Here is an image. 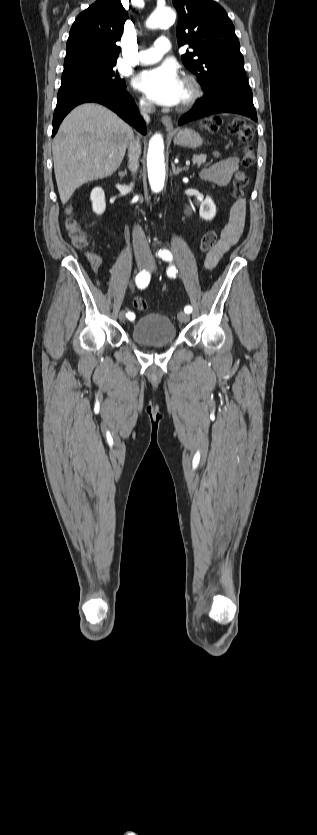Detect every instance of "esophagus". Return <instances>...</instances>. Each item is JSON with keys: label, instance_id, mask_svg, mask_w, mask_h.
<instances>
[{"label": "esophagus", "instance_id": "obj_1", "mask_svg": "<svg viewBox=\"0 0 317 835\" xmlns=\"http://www.w3.org/2000/svg\"><path fill=\"white\" fill-rule=\"evenodd\" d=\"M161 121H162V123L165 126L167 131L170 132V131L173 130V123H172V119H171L170 116H162Z\"/></svg>", "mask_w": 317, "mask_h": 835}]
</instances>
